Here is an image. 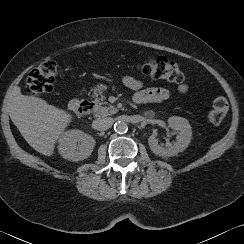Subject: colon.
Wrapping results in <instances>:
<instances>
[{
  "instance_id": "1",
  "label": "colon",
  "mask_w": 244,
  "mask_h": 244,
  "mask_svg": "<svg viewBox=\"0 0 244 244\" xmlns=\"http://www.w3.org/2000/svg\"><path fill=\"white\" fill-rule=\"evenodd\" d=\"M137 71L155 80L171 83H182L185 79L179 66L165 57L150 58L136 66ZM57 75V64L47 60L33 68L27 77V92L33 95L49 93L53 90ZM228 111V102L222 96L214 98L208 113V120L213 125H219Z\"/></svg>"
}]
</instances>
